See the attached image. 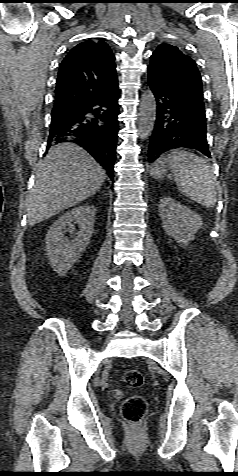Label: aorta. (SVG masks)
Here are the masks:
<instances>
[{
	"label": "aorta",
	"mask_w": 238,
	"mask_h": 476,
	"mask_svg": "<svg viewBox=\"0 0 238 476\" xmlns=\"http://www.w3.org/2000/svg\"><path fill=\"white\" fill-rule=\"evenodd\" d=\"M156 118V101L150 89L143 92L139 108L138 134L140 139L145 140L154 128Z\"/></svg>",
	"instance_id": "aorta-1"
}]
</instances>
